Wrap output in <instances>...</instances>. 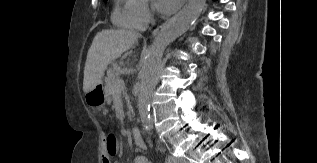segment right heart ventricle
Returning a JSON list of instances; mask_svg holds the SVG:
<instances>
[{"label": "right heart ventricle", "mask_w": 317, "mask_h": 163, "mask_svg": "<svg viewBox=\"0 0 317 163\" xmlns=\"http://www.w3.org/2000/svg\"><path fill=\"white\" fill-rule=\"evenodd\" d=\"M139 3L140 0H115L112 14L113 23L122 28L142 29L144 25L137 15Z\"/></svg>", "instance_id": "right-heart-ventricle-1"}]
</instances>
